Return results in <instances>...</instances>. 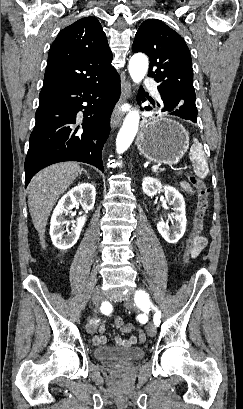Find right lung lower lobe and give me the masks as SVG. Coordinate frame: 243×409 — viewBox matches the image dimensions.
<instances>
[{
	"label": "right lung lower lobe",
	"mask_w": 243,
	"mask_h": 409,
	"mask_svg": "<svg viewBox=\"0 0 243 409\" xmlns=\"http://www.w3.org/2000/svg\"><path fill=\"white\" fill-rule=\"evenodd\" d=\"M119 96L115 70L95 82L41 91L25 160V185L39 170L61 161L85 162L104 172L102 149ZM83 109L81 121L78 113Z\"/></svg>",
	"instance_id": "obj_1"
}]
</instances>
